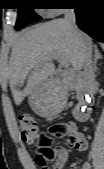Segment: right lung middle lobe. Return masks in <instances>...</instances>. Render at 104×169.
I'll list each match as a JSON object with an SVG mask.
<instances>
[{
  "mask_svg": "<svg viewBox=\"0 0 104 169\" xmlns=\"http://www.w3.org/2000/svg\"><path fill=\"white\" fill-rule=\"evenodd\" d=\"M19 2V10L15 29H21L25 25L41 20V17L34 12V3L32 0H17ZM74 1V0H73Z\"/></svg>",
  "mask_w": 104,
  "mask_h": 169,
  "instance_id": "dd1d6c3e",
  "label": "right lung middle lobe"
}]
</instances>
